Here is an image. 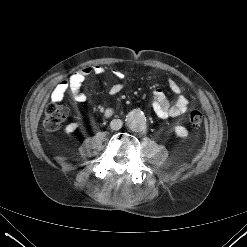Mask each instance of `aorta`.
<instances>
[{
  "mask_svg": "<svg viewBox=\"0 0 247 247\" xmlns=\"http://www.w3.org/2000/svg\"><path fill=\"white\" fill-rule=\"evenodd\" d=\"M145 116L140 110H132L126 116L127 126L134 130H142L145 126Z\"/></svg>",
  "mask_w": 247,
  "mask_h": 247,
  "instance_id": "1",
  "label": "aorta"
}]
</instances>
